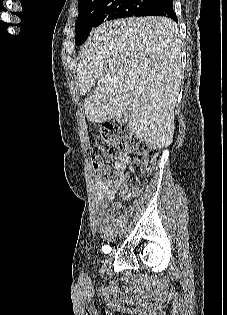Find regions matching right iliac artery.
<instances>
[{"instance_id": "right-iliac-artery-1", "label": "right iliac artery", "mask_w": 227, "mask_h": 315, "mask_svg": "<svg viewBox=\"0 0 227 315\" xmlns=\"http://www.w3.org/2000/svg\"><path fill=\"white\" fill-rule=\"evenodd\" d=\"M121 224H122V220H121V219H117V220H116V225H117V226H120Z\"/></svg>"}]
</instances>
